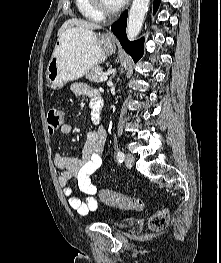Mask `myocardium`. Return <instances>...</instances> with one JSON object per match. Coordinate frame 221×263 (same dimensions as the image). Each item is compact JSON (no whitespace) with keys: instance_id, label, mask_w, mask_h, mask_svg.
<instances>
[{"instance_id":"myocardium-1","label":"myocardium","mask_w":221,"mask_h":263,"mask_svg":"<svg viewBox=\"0 0 221 263\" xmlns=\"http://www.w3.org/2000/svg\"><path fill=\"white\" fill-rule=\"evenodd\" d=\"M91 6L103 17L116 15L123 7V3H120L115 8H108L104 5L103 0H89Z\"/></svg>"}]
</instances>
